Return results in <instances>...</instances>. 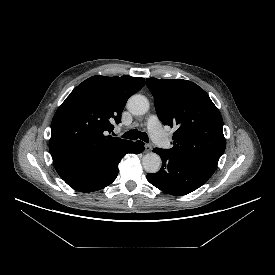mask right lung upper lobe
<instances>
[{"label": "right lung upper lobe", "mask_w": 275, "mask_h": 275, "mask_svg": "<svg viewBox=\"0 0 275 275\" xmlns=\"http://www.w3.org/2000/svg\"><path fill=\"white\" fill-rule=\"evenodd\" d=\"M144 78L93 76L78 85L56 111L51 124L49 151L62 179L98 168L132 141L112 138L111 122L121 121L130 96Z\"/></svg>", "instance_id": "cb5924a9"}]
</instances>
